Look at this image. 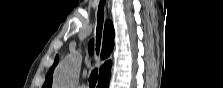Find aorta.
<instances>
[{"mask_svg":"<svg viewBox=\"0 0 223 88\" xmlns=\"http://www.w3.org/2000/svg\"><path fill=\"white\" fill-rule=\"evenodd\" d=\"M80 64L81 56L79 54L64 58L54 73V86L57 88H72L78 79Z\"/></svg>","mask_w":223,"mask_h":88,"instance_id":"obj_1","label":"aorta"}]
</instances>
